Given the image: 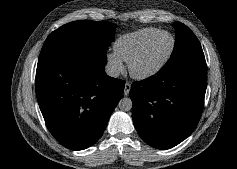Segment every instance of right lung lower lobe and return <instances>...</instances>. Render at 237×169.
Returning a JSON list of instances; mask_svg holds the SVG:
<instances>
[{
  "mask_svg": "<svg viewBox=\"0 0 237 169\" xmlns=\"http://www.w3.org/2000/svg\"><path fill=\"white\" fill-rule=\"evenodd\" d=\"M106 63V53L92 49L40 53L37 100L49 131L66 148L96 143L123 96L124 81L109 77Z\"/></svg>",
  "mask_w": 237,
  "mask_h": 169,
  "instance_id": "98d812e1",
  "label": "right lung lower lobe"
}]
</instances>
